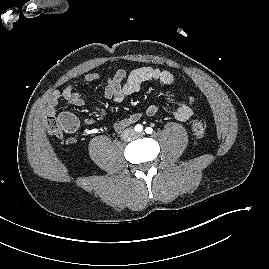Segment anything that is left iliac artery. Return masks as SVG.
I'll list each match as a JSON object with an SVG mask.
<instances>
[{
  "mask_svg": "<svg viewBox=\"0 0 269 269\" xmlns=\"http://www.w3.org/2000/svg\"><path fill=\"white\" fill-rule=\"evenodd\" d=\"M145 132H146L147 134H152L153 129H152L151 127H147V128L145 129Z\"/></svg>",
  "mask_w": 269,
  "mask_h": 269,
  "instance_id": "44dca946",
  "label": "left iliac artery"
}]
</instances>
